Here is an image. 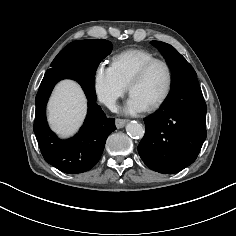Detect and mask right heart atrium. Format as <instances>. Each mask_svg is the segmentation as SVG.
Wrapping results in <instances>:
<instances>
[{
    "label": "right heart atrium",
    "mask_w": 236,
    "mask_h": 236,
    "mask_svg": "<svg viewBox=\"0 0 236 236\" xmlns=\"http://www.w3.org/2000/svg\"><path fill=\"white\" fill-rule=\"evenodd\" d=\"M93 90L97 98L108 108L115 109L118 100L128 91L112 65L98 64L92 75Z\"/></svg>",
    "instance_id": "1"
}]
</instances>
